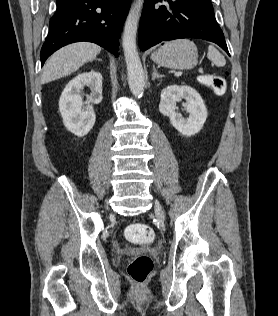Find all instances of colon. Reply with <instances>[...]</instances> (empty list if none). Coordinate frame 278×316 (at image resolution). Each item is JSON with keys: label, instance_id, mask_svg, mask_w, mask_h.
<instances>
[{"label": "colon", "instance_id": "colon-1", "mask_svg": "<svg viewBox=\"0 0 278 316\" xmlns=\"http://www.w3.org/2000/svg\"><path fill=\"white\" fill-rule=\"evenodd\" d=\"M200 82L218 96L226 92L225 78L220 75H203ZM125 236L129 241L142 245L151 244L155 237L153 229L142 223L130 224L125 230ZM152 270L153 261L147 255H136L127 260V273L138 286H143L147 282Z\"/></svg>", "mask_w": 278, "mask_h": 316}]
</instances>
